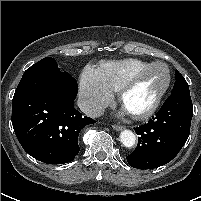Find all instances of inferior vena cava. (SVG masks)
<instances>
[{
  "instance_id": "602c4592",
  "label": "inferior vena cava",
  "mask_w": 201,
  "mask_h": 201,
  "mask_svg": "<svg viewBox=\"0 0 201 201\" xmlns=\"http://www.w3.org/2000/svg\"><path fill=\"white\" fill-rule=\"evenodd\" d=\"M79 109L91 118L100 117L104 113V107L92 100L79 98L77 101Z\"/></svg>"
}]
</instances>
